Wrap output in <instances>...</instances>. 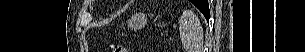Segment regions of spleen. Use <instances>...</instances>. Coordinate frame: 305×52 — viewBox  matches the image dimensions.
<instances>
[{
    "instance_id": "obj_1",
    "label": "spleen",
    "mask_w": 305,
    "mask_h": 52,
    "mask_svg": "<svg viewBox=\"0 0 305 52\" xmlns=\"http://www.w3.org/2000/svg\"><path fill=\"white\" fill-rule=\"evenodd\" d=\"M179 31L186 52H201L204 33L198 17L193 12H183L179 19Z\"/></svg>"
}]
</instances>
